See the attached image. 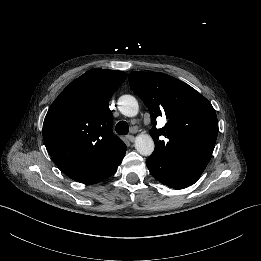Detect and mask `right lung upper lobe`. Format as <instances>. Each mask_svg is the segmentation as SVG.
<instances>
[{
  "label": "right lung upper lobe",
  "instance_id": "cb5924a9",
  "mask_svg": "<svg viewBox=\"0 0 261 261\" xmlns=\"http://www.w3.org/2000/svg\"><path fill=\"white\" fill-rule=\"evenodd\" d=\"M125 78L122 71L91 69L50 106L43 125L44 144L71 179L88 183L123 159L126 145L112 131L108 105Z\"/></svg>",
  "mask_w": 261,
  "mask_h": 261
}]
</instances>
